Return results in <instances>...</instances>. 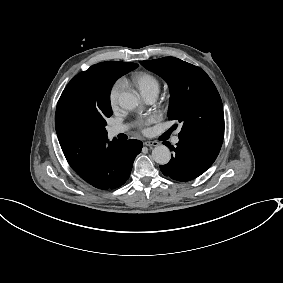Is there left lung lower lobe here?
I'll list each match as a JSON object with an SVG mask.
<instances>
[{
  "label": "left lung lower lobe",
  "instance_id": "1",
  "mask_svg": "<svg viewBox=\"0 0 283 283\" xmlns=\"http://www.w3.org/2000/svg\"><path fill=\"white\" fill-rule=\"evenodd\" d=\"M175 153L168 164L160 166L162 173L173 180L186 182L203 174L217 158L221 146L179 137L177 146L164 143Z\"/></svg>",
  "mask_w": 283,
  "mask_h": 283
}]
</instances>
